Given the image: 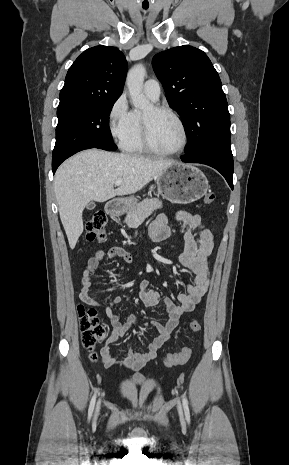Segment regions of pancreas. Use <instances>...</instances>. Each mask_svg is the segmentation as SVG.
<instances>
[{
    "instance_id": "1",
    "label": "pancreas",
    "mask_w": 289,
    "mask_h": 465,
    "mask_svg": "<svg viewBox=\"0 0 289 465\" xmlns=\"http://www.w3.org/2000/svg\"><path fill=\"white\" fill-rule=\"evenodd\" d=\"M162 202L157 198L144 199L127 212L125 223L129 228H134L141 224L153 211L160 209Z\"/></svg>"
}]
</instances>
